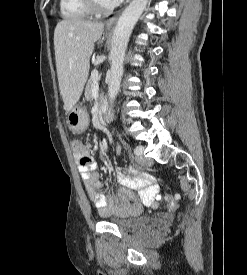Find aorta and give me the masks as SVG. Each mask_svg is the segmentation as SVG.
<instances>
[{
    "mask_svg": "<svg viewBox=\"0 0 247 275\" xmlns=\"http://www.w3.org/2000/svg\"><path fill=\"white\" fill-rule=\"evenodd\" d=\"M147 3L148 0H132L117 21L110 53L111 70L108 84V97L110 101L116 98L120 89L121 78L124 71L123 62L128 41Z\"/></svg>",
    "mask_w": 247,
    "mask_h": 275,
    "instance_id": "1",
    "label": "aorta"
}]
</instances>
